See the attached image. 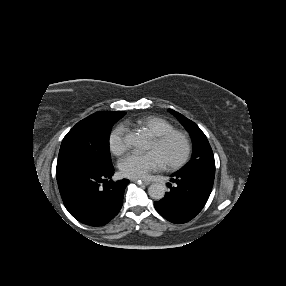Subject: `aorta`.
Segmentation results:
<instances>
[{"mask_svg": "<svg viewBox=\"0 0 286 286\" xmlns=\"http://www.w3.org/2000/svg\"><path fill=\"white\" fill-rule=\"evenodd\" d=\"M125 140L136 147H142V143L144 141L143 138L137 133L126 135ZM165 192V186L160 183H153L148 188V194L154 200H161L164 198Z\"/></svg>", "mask_w": 286, "mask_h": 286, "instance_id": "aorta-1", "label": "aorta"}]
</instances>
